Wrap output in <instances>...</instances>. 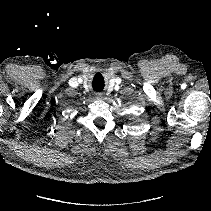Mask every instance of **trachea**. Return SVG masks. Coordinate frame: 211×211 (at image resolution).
Masks as SVG:
<instances>
[{
  "mask_svg": "<svg viewBox=\"0 0 211 211\" xmlns=\"http://www.w3.org/2000/svg\"><path fill=\"white\" fill-rule=\"evenodd\" d=\"M103 87L99 88L98 90L101 91Z\"/></svg>",
  "mask_w": 211,
  "mask_h": 211,
  "instance_id": "3493384b",
  "label": "trachea"
}]
</instances>
